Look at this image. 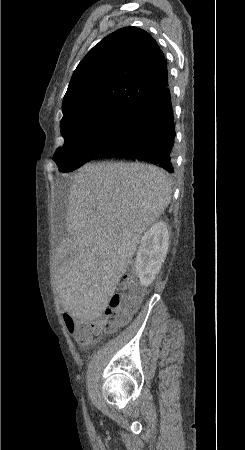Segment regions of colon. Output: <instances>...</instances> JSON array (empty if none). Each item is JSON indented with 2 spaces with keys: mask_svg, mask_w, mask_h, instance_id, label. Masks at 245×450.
Returning <instances> with one entry per match:
<instances>
[{
  "mask_svg": "<svg viewBox=\"0 0 245 450\" xmlns=\"http://www.w3.org/2000/svg\"><path fill=\"white\" fill-rule=\"evenodd\" d=\"M119 290L110 298L107 307L98 315L88 321L77 323L68 321L67 329L75 331L81 340H87L90 337V331L113 332L118 327L125 326L138 310L141 292L135 290V283L131 274L120 280ZM130 290H133L132 293H127Z\"/></svg>",
  "mask_w": 245,
  "mask_h": 450,
  "instance_id": "obj_1",
  "label": "colon"
}]
</instances>
